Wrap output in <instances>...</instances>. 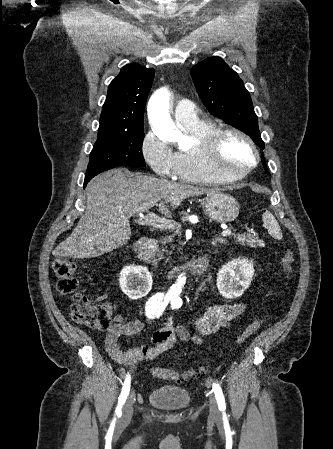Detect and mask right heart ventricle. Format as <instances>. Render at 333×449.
I'll return each mask as SVG.
<instances>
[{"mask_svg": "<svg viewBox=\"0 0 333 449\" xmlns=\"http://www.w3.org/2000/svg\"><path fill=\"white\" fill-rule=\"evenodd\" d=\"M180 128L194 139V144L189 149H179L176 152L175 176L182 181L196 184L229 182L215 177L207 170L202 154L197 147V142L217 126L211 122L198 121L192 125H180Z\"/></svg>", "mask_w": 333, "mask_h": 449, "instance_id": "obj_1", "label": "right heart ventricle"}]
</instances>
